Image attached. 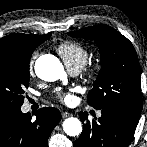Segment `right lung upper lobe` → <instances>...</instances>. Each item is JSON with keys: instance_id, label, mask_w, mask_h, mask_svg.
<instances>
[{"instance_id": "1", "label": "right lung upper lobe", "mask_w": 147, "mask_h": 147, "mask_svg": "<svg viewBox=\"0 0 147 147\" xmlns=\"http://www.w3.org/2000/svg\"><path fill=\"white\" fill-rule=\"evenodd\" d=\"M50 34L38 36L33 34L13 33L0 39V50L29 51L47 40Z\"/></svg>"}]
</instances>
